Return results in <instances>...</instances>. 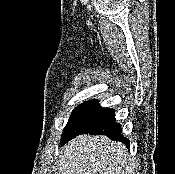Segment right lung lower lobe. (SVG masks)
<instances>
[{"label":"right lung lower lobe","instance_id":"1","mask_svg":"<svg viewBox=\"0 0 175 174\" xmlns=\"http://www.w3.org/2000/svg\"><path fill=\"white\" fill-rule=\"evenodd\" d=\"M114 109L103 108L98 100L84 103L61 139L62 145L80 134L106 135L129 148V140L121 135V125L114 121Z\"/></svg>","mask_w":175,"mask_h":174}]
</instances>
